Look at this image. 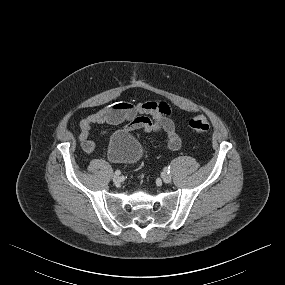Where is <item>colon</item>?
Segmentation results:
<instances>
[{"mask_svg":"<svg viewBox=\"0 0 285 285\" xmlns=\"http://www.w3.org/2000/svg\"><path fill=\"white\" fill-rule=\"evenodd\" d=\"M189 126L197 134L203 135L209 129V123L204 115H197L189 121Z\"/></svg>","mask_w":285,"mask_h":285,"instance_id":"obj_1","label":"colon"}]
</instances>
